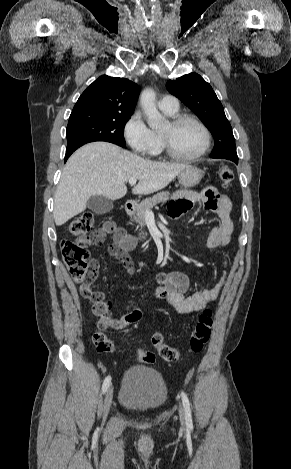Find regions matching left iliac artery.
<instances>
[{
  "label": "left iliac artery",
  "mask_w": 291,
  "mask_h": 469,
  "mask_svg": "<svg viewBox=\"0 0 291 469\" xmlns=\"http://www.w3.org/2000/svg\"><path fill=\"white\" fill-rule=\"evenodd\" d=\"M182 397V402L185 410V418H186V424L189 428H192L193 423H192V416H191V409H190V402L189 399L186 395V393L182 392L181 393Z\"/></svg>",
  "instance_id": "obj_1"
}]
</instances>
